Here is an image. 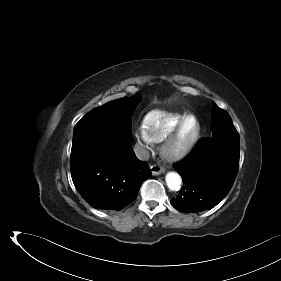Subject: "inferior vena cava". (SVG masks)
I'll return each instance as SVG.
<instances>
[{
    "label": "inferior vena cava",
    "mask_w": 281,
    "mask_h": 281,
    "mask_svg": "<svg viewBox=\"0 0 281 281\" xmlns=\"http://www.w3.org/2000/svg\"><path fill=\"white\" fill-rule=\"evenodd\" d=\"M134 152L139 160L146 161L150 157L149 150L144 145L136 144Z\"/></svg>",
    "instance_id": "obj_1"
}]
</instances>
